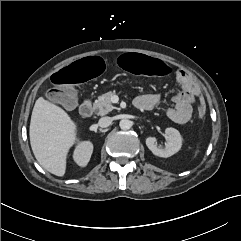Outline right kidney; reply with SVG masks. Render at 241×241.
Instances as JSON below:
<instances>
[{
  "label": "right kidney",
  "instance_id": "right-kidney-1",
  "mask_svg": "<svg viewBox=\"0 0 241 241\" xmlns=\"http://www.w3.org/2000/svg\"><path fill=\"white\" fill-rule=\"evenodd\" d=\"M93 152V144L90 141H83L76 146L73 159L81 167L88 164Z\"/></svg>",
  "mask_w": 241,
  "mask_h": 241
}]
</instances>
